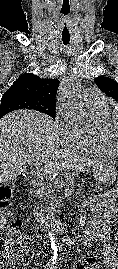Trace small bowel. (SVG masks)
<instances>
[{"mask_svg": "<svg viewBox=\"0 0 118 269\" xmlns=\"http://www.w3.org/2000/svg\"><path fill=\"white\" fill-rule=\"evenodd\" d=\"M92 211L94 218L84 234L79 237V242L87 247L100 246L104 263L114 269L118 267V248L112 249L108 245L107 240L110 221L118 216V205L115 199L112 198L105 201L102 206L93 207ZM90 263L92 262L89 261L88 264ZM83 268L86 269V267Z\"/></svg>", "mask_w": 118, "mask_h": 269, "instance_id": "small-bowel-1", "label": "small bowel"}]
</instances>
